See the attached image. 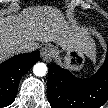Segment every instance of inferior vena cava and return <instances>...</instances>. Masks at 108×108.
<instances>
[{
  "label": "inferior vena cava",
  "mask_w": 108,
  "mask_h": 108,
  "mask_svg": "<svg viewBox=\"0 0 108 108\" xmlns=\"http://www.w3.org/2000/svg\"><path fill=\"white\" fill-rule=\"evenodd\" d=\"M33 50H34L33 47L30 46V45H22V46H20V51L21 52H31Z\"/></svg>",
  "instance_id": "obj_1"
}]
</instances>
